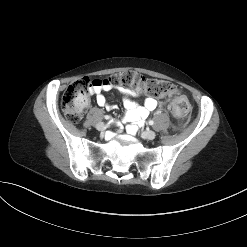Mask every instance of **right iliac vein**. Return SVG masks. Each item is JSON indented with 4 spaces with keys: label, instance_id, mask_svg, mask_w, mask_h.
I'll return each instance as SVG.
<instances>
[{
    "label": "right iliac vein",
    "instance_id": "obj_1",
    "mask_svg": "<svg viewBox=\"0 0 247 247\" xmlns=\"http://www.w3.org/2000/svg\"><path fill=\"white\" fill-rule=\"evenodd\" d=\"M96 128L98 131L104 132L106 130V125L104 123H98Z\"/></svg>",
    "mask_w": 247,
    "mask_h": 247
}]
</instances>
